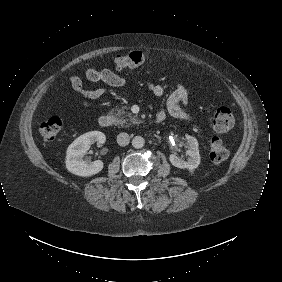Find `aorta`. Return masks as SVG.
<instances>
[{
  "label": "aorta",
  "instance_id": "762f6f07",
  "mask_svg": "<svg viewBox=\"0 0 282 282\" xmlns=\"http://www.w3.org/2000/svg\"><path fill=\"white\" fill-rule=\"evenodd\" d=\"M144 145H145V139L142 136H135L132 139V146L135 149H141L144 147Z\"/></svg>",
  "mask_w": 282,
  "mask_h": 282
}]
</instances>
